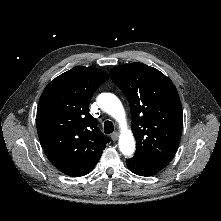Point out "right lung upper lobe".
Masks as SVG:
<instances>
[{
    "label": "right lung upper lobe",
    "mask_w": 221,
    "mask_h": 221,
    "mask_svg": "<svg viewBox=\"0 0 221 221\" xmlns=\"http://www.w3.org/2000/svg\"><path fill=\"white\" fill-rule=\"evenodd\" d=\"M107 80L102 70L77 66L52 80L41 94L38 136L50 162L66 175L89 173L109 142L89 114L93 93Z\"/></svg>",
    "instance_id": "right-lung-upper-lobe-1"
}]
</instances>
